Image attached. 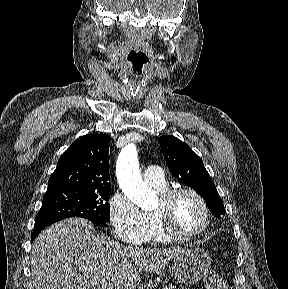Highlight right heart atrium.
Masks as SVG:
<instances>
[{
    "instance_id": "obj_1",
    "label": "right heart atrium",
    "mask_w": 288,
    "mask_h": 289,
    "mask_svg": "<svg viewBox=\"0 0 288 289\" xmlns=\"http://www.w3.org/2000/svg\"><path fill=\"white\" fill-rule=\"evenodd\" d=\"M109 220L114 236L121 242L141 244L148 235L147 215L121 192L110 199Z\"/></svg>"
}]
</instances>
